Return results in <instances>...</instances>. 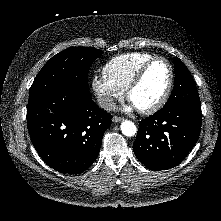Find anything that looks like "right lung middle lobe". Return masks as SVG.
I'll return each mask as SVG.
<instances>
[{
  "instance_id": "right-lung-middle-lobe-1",
  "label": "right lung middle lobe",
  "mask_w": 221,
  "mask_h": 221,
  "mask_svg": "<svg viewBox=\"0 0 221 221\" xmlns=\"http://www.w3.org/2000/svg\"><path fill=\"white\" fill-rule=\"evenodd\" d=\"M102 53L95 48L71 47L54 55L37 74L30 88L27 108L62 86L75 85L89 89V67Z\"/></svg>"
}]
</instances>
